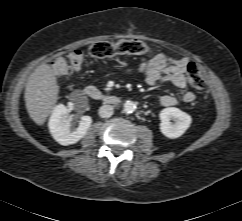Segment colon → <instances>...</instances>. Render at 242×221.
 Here are the masks:
<instances>
[{
    "instance_id": "obj_1",
    "label": "colon",
    "mask_w": 242,
    "mask_h": 221,
    "mask_svg": "<svg viewBox=\"0 0 242 221\" xmlns=\"http://www.w3.org/2000/svg\"><path fill=\"white\" fill-rule=\"evenodd\" d=\"M152 47L139 39L123 40L117 43L96 42L87 53L81 50H73L56 58L52 63V70L58 76H66L78 71L86 58L90 56L95 59H109L125 54H144ZM189 84L197 91L203 92L206 84L200 68L193 62L186 68Z\"/></svg>"
}]
</instances>
